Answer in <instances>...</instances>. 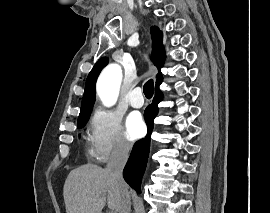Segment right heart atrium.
Segmentation results:
<instances>
[{"mask_svg":"<svg viewBox=\"0 0 270 213\" xmlns=\"http://www.w3.org/2000/svg\"><path fill=\"white\" fill-rule=\"evenodd\" d=\"M90 123L89 141L95 159L106 162L111 158L125 157L129 154L131 145L124 137L121 115L118 112L97 108Z\"/></svg>","mask_w":270,"mask_h":213,"instance_id":"1","label":"right heart atrium"}]
</instances>
